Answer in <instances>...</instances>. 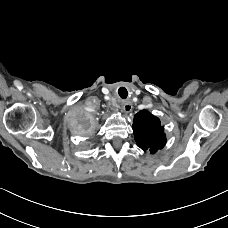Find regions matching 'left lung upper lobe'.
Wrapping results in <instances>:
<instances>
[{"mask_svg": "<svg viewBox=\"0 0 228 228\" xmlns=\"http://www.w3.org/2000/svg\"><path fill=\"white\" fill-rule=\"evenodd\" d=\"M133 133L137 145L144 151L149 150L152 154L166 144L164 127L161 126L160 120L146 110L135 115Z\"/></svg>", "mask_w": 228, "mask_h": 228, "instance_id": "1", "label": "left lung upper lobe"}]
</instances>
